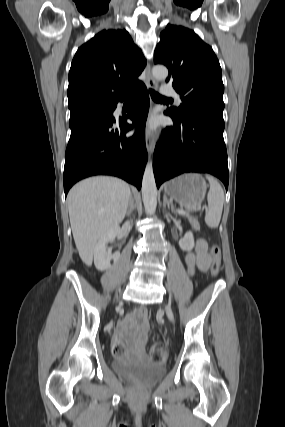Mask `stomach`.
<instances>
[{
  "label": "stomach",
  "instance_id": "1",
  "mask_svg": "<svg viewBox=\"0 0 285 427\" xmlns=\"http://www.w3.org/2000/svg\"><path fill=\"white\" fill-rule=\"evenodd\" d=\"M207 185L199 174H184L168 181L165 193L187 210L196 209L204 200Z\"/></svg>",
  "mask_w": 285,
  "mask_h": 427
}]
</instances>
